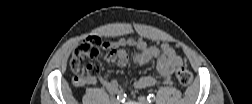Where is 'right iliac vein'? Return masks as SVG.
I'll return each mask as SVG.
<instances>
[{
  "instance_id": "63e3f726",
  "label": "right iliac vein",
  "mask_w": 252,
  "mask_h": 104,
  "mask_svg": "<svg viewBox=\"0 0 252 104\" xmlns=\"http://www.w3.org/2000/svg\"><path fill=\"white\" fill-rule=\"evenodd\" d=\"M111 103H112V104H119L120 101L114 98L113 100H111Z\"/></svg>"
}]
</instances>
